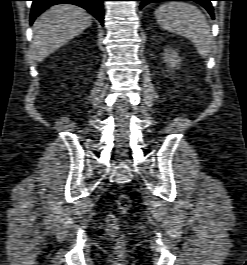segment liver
<instances>
[{"mask_svg":"<svg viewBox=\"0 0 247 265\" xmlns=\"http://www.w3.org/2000/svg\"><path fill=\"white\" fill-rule=\"evenodd\" d=\"M92 23L84 9L70 4L55 5L40 15L33 24L31 57L35 62L80 35Z\"/></svg>","mask_w":247,"mask_h":265,"instance_id":"1","label":"liver"}]
</instances>
